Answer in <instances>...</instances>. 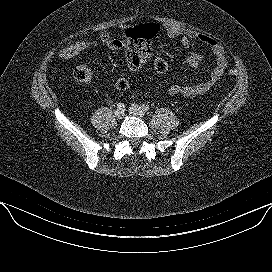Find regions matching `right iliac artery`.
<instances>
[{
    "instance_id": "1",
    "label": "right iliac artery",
    "mask_w": 272,
    "mask_h": 272,
    "mask_svg": "<svg viewBox=\"0 0 272 272\" xmlns=\"http://www.w3.org/2000/svg\"><path fill=\"white\" fill-rule=\"evenodd\" d=\"M117 108H118V109H123V108H124V104L121 103V102L118 103V104H117Z\"/></svg>"
}]
</instances>
